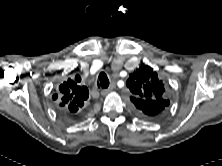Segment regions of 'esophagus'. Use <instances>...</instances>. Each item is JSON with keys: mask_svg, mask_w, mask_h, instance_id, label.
Returning <instances> with one entry per match:
<instances>
[{"mask_svg": "<svg viewBox=\"0 0 222 166\" xmlns=\"http://www.w3.org/2000/svg\"><path fill=\"white\" fill-rule=\"evenodd\" d=\"M115 88V83H112L111 86L107 89H103L101 91V95L105 96L107 95L109 92H111L113 89Z\"/></svg>", "mask_w": 222, "mask_h": 166, "instance_id": "1", "label": "esophagus"}]
</instances>
